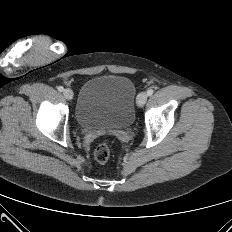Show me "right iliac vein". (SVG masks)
Wrapping results in <instances>:
<instances>
[{
	"instance_id": "right-iliac-vein-1",
	"label": "right iliac vein",
	"mask_w": 232,
	"mask_h": 232,
	"mask_svg": "<svg viewBox=\"0 0 232 232\" xmlns=\"http://www.w3.org/2000/svg\"><path fill=\"white\" fill-rule=\"evenodd\" d=\"M63 95L67 100H71L73 98V91L71 89H65L63 91Z\"/></svg>"
}]
</instances>
